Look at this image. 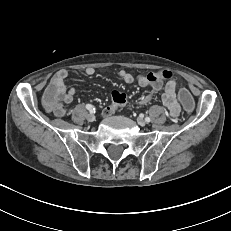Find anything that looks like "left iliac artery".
<instances>
[{"label": "left iliac artery", "mask_w": 231, "mask_h": 231, "mask_svg": "<svg viewBox=\"0 0 231 231\" xmlns=\"http://www.w3.org/2000/svg\"><path fill=\"white\" fill-rule=\"evenodd\" d=\"M145 121H146L147 123H149V122L151 121V119H150L149 117H146V118H145Z\"/></svg>", "instance_id": "1"}]
</instances>
